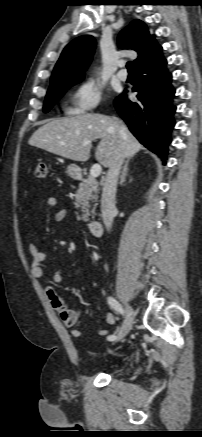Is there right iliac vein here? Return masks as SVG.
<instances>
[{"instance_id":"right-iliac-vein-1","label":"right iliac vein","mask_w":202,"mask_h":437,"mask_svg":"<svg viewBox=\"0 0 202 437\" xmlns=\"http://www.w3.org/2000/svg\"><path fill=\"white\" fill-rule=\"evenodd\" d=\"M134 322V311L130 306H127L126 308V318L118 331L117 334V341L122 340L130 331L132 325Z\"/></svg>"}]
</instances>
